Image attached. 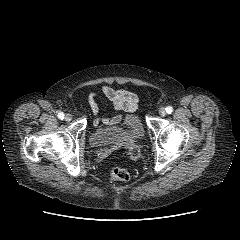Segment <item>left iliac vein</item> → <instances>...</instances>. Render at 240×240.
Segmentation results:
<instances>
[{
  "label": "left iliac vein",
  "mask_w": 240,
  "mask_h": 240,
  "mask_svg": "<svg viewBox=\"0 0 240 240\" xmlns=\"http://www.w3.org/2000/svg\"><path fill=\"white\" fill-rule=\"evenodd\" d=\"M159 114H160L161 116H165V115H166V110H165V108L161 107V108L159 109Z\"/></svg>",
  "instance_id": "obj_1"
}]
</instances>
